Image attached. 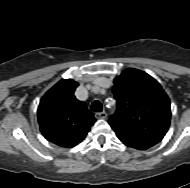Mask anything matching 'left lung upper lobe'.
Returning <instances> with one entry per match:
<instances>
[{
    "label": "left lung upper lobe",
    "instance_id": "5c2ea615",
    "mask_svg": "<svg viewBox=\"0 0 190 188\" xmlns=\"http://www.w3.org/2000/svg\"><path fill=\"white\" fill-rule=\"evenodd\" d=\"M117 111L109 124L165 135L171 120L170 100L161 85L149 74L126 69L114 79Z\"/></svg>",
    "mask_w": 190,
    "mask_h": 188
}]
</instances>
